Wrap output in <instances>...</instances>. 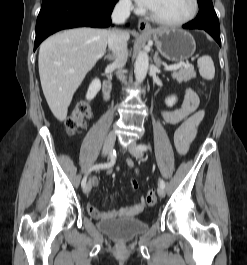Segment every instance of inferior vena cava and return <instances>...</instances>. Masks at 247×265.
Returning a JSON list of instances; mask_svg holds the SVG:
<instances>
[{
	"label": "inferior vena cava",
	"instance_id": "obj_1",
	"mask_svg": "<svg viewBox=\"0 0 247 265\" xmlns=\"http://www.w3.org/2000/svg\"><path fill=\"white\" fill-rule=\"evenodd\" d=\"M131 8V0H120L115 5L111 15L113 23L121 24L128 19ZM127 40L126 33L119 29H112L108 32V46L115 56L113 66L119 70L118 78L122 81L125 77L120 71L124 67L128 57Z\"/></svg>",
	"mask_w": 247,
	"mask_h": 265
}]
</instances>
